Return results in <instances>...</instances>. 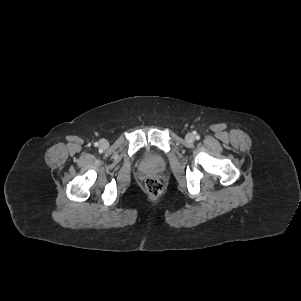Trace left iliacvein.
Instances as JSON below:
<instances>
[{
	"label": "left iliac vein",
	"instance_id": "1",
	"mask_svg": "<svg viewBox=\"0 0 301 301\" xmlns=\"http://www.w3.org/2000/svg\"><path fill=\"white\" fill-rule=\"evenodd\" d=\"M185 139H186V141H188V142H193L194 139H195V137H194V135H193L192 133H188V134L185 136Z\"/></svg>",
	"mask_w": 301,
	"mask_h": 301
}]
</instances>
